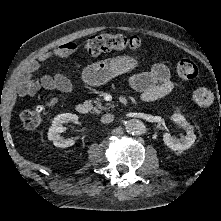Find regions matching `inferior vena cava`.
I'll list each match as a JSON object with an SVG mask.
<instances>
[{"label":"inferior vena cava","mask_w":221,"mask_h":221,"mask_svg":"<svg viewBox=\"0 0 221 221\" xmlns=\"http://www.w3.org/2000/svg\"><path fill=\"white\" fill-rule=\"evenodd\" d=\"M113 120H114V115L113 114H104L101 117V122L104 123V124L111 123Z\"/></svg>","instance_id":"obj_1"}]
</instances>
